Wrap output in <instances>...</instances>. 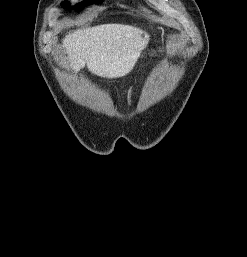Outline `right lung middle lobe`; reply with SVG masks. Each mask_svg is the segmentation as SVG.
Masks as SVG:
<instances>
[{
  "mask_svg": "<svg viewBox=\"0 0 247 257\" xmlns=\"http://www.w3.org/2000/svg\"><path fill=\"white\" fill-rule=\"evenodd\" d=\"M101 0H86V1H83L82 3L78 4L75 9L76 10H81L84 6L88 5V4H91V3H98L100 2ZM62 6L64 8H68L69 7V4L67 1L63 2L62 3Z\"/></svg>",
  "mask_w": 247,
  "mask_h": 257,
  "instance_id": "obj_1",
  "label": "right lung middle lobe"
}]
</instances>
